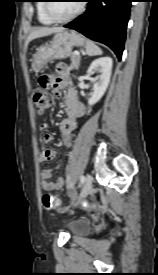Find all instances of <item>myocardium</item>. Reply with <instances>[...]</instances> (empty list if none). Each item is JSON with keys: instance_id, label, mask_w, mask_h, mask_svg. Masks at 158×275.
Wrapping results in <instances>:
<instances>
[{"instance_id": "f54148a6", "label": "myocardium", "mask_w": 158, "mask_h": 275, "mask_svg": "<svg viewBox=\"0 0 158 275\" xmlns=\"http://www.w3.org/2000/svg\"><path fill=\"white\" fill-rule=\"evenodd\" d=\"M46 2H48V3H45V6H44L45 13L49 17V19H51L53 22H56V23H65V22L71 21L74 18H76L77 16H79L84 11V9H85V3L82 0V1H80L81 3H80L79 7L77 8V10L74 13H72L68 17L59 18V17L55 16L52 13V10H51V4L52 3H49L51 1L48 0Z\"/></svg>"}]
</instances>
